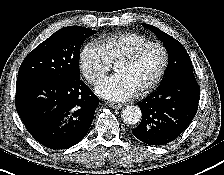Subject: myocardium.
Instances as JSON below:
<instances>
[{"mask_svg": "<svg viewBox=\"0 0 224 175\" xmlns=\"http://www.w3.org/2000/svg\"><path fill=\"white\" fill-rule=\"evenodd\" d=\"M151 47H157L161 51L162 63H161L159 71L157 72V74L153 78V80L137 90V93H139V94H144V93H147V92L153 90L163 79V77L166 73V70L168 68V64H169V53H168L166 46L164 44H162L160 42H156V41L146 42V43L138 46L137 48H135L132 52H130L129 54H127L120 60H118L115 64V66L119 65V64L130 65V64L134 63L147 49H149Z\"/></svg>", "mask_w": 224, "mask_h": 175, "instance_id": "f54148a6", "label": "myocardium"}]
</instances>
